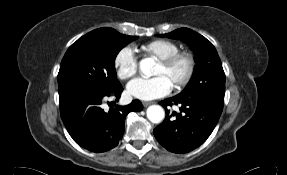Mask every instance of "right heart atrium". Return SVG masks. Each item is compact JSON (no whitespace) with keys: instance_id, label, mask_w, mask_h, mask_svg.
Instances as JSON below:
<instances>
[{"instance_id":"1","label":"right heart atrium","mask_w":287,"mask_h":175,"mask_svg":"<svg viewBox=\"0 0 287 175\" xmlns=\"http://www.w3.org/2000/svg\"><path fill=\"white\" fill-rule=\"evenodd\" d=\"M114 67L120 79L128 80L134 77L138 71V59L134 49L130 46L121 48L115 55Z\"/></svg>"}]
</instances>
